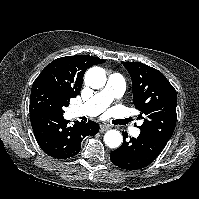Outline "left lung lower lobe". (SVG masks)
<instances>
[{
	"mask_svg": "<svg viewBox=\"0 0 199 199\" xmlns=\"http://www.w3.org/2000/svg\"><path fill=\"white\" fill-rule=\"evenodd\" d=\"M123 137H125L123 135ZM165 143L159 139L140 133L139 137L130 139L110 154L111 161L125 170H138L153 162Z\"/></svg>",
	"mask_w": 199,
	"mask_h": 199,
	"instance_id": "left-lung-lower-lobe-1",
	"label": "left lung lower lobe"
}]
</instances>
